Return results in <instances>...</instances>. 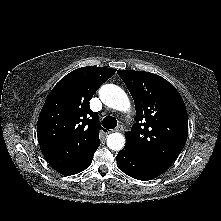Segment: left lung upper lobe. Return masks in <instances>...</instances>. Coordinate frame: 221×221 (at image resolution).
Instances as JSON below:
<instances>
[{
  "label": "left lung upper lobe",
  "mask_w": 221,
  "mask_h": 221,
  "mask_svg": "<svg viewBox=\"0 0 221 221\" xmlns=\"http://www.w3.org/2000/svg\"><path fill=\"white\" fill-rule=\"evenodd\" d=\"M117 73L136 108V123L125 134V147L168 169L188 137V115L181 95L156 74L134 70Z\"/></svg>",
  "instance_id": "1"
}]
</instances>
